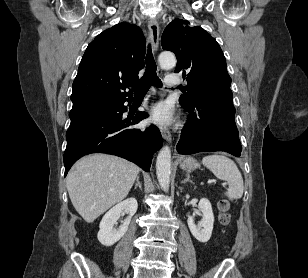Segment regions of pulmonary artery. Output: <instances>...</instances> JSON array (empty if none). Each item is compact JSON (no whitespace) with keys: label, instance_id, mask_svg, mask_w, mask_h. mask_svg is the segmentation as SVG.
Wrapping results in <instances>:
<instances>
[{"label":"pulmonary artery","instance_id":"pulmonary-artery-1","mask_svg":"<svg viewBox=\"0 0 308 278\" xmlns=\"http://www.w3.org/2000/svg\"><path fill=\"white\" fill-rule=\"evenodd\" d=\"M166 85L174 87L180 84V79L176 74H169L165 78Z\"/></svg>","mask_w":308,"mask_h":278}]
</instances>
